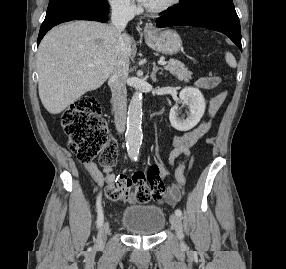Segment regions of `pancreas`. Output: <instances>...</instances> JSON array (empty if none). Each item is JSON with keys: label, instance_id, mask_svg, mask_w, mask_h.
<instances>
[{"label": "pancreas", "instance_id": "pancreas-1", "mask_svg": "<svg viewBox=\"0 0 286 269\" xmlns=\"http://www.w3.org/2000/svg\"><path fill=\"white\" fill-rule=\"evenodd\" d=\"M164 68L176 76L178 80L188 81L191 79L192 72L176 59H170Z\"/></svg>", "mask_w": 286, "mask_h": 269}]
</instances>
